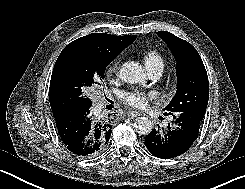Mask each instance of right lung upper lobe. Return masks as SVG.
<instances>
[{"mask_svg":"<svg viewBox=\"0 0 245 189\" xmlns=\"http://www.w3.org/2000/svg\"><path fill=\"white\" fill-rule=\"evenodd\" d=\"M136 37L137 36L135 35L114 36L103 33H91L68 44L63 49L56 62L74 51L94 52L105 59L113 61L119 55V53L123 51L124 48L134 42ZM49 99L53 111V116H56L62 111H65L58 105L56 101L51 82Z\"/></svg>","mask_w":245,"mask_h":189,"instance_id":"1","label":"right lung upper lobe"}]
</instances>
